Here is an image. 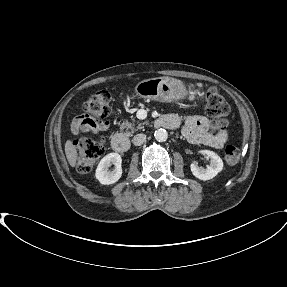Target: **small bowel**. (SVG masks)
I'll use <instances>...</instances> for the list:
<instances>
[{"mask_svg": "<svg viewBox=\"0 0 287 287\" xmlns=\"http://www.w3.org/2000/svg\"><path fill=\"white\" fill-rule=\"evenodd\" d=\"M167 117H170L175 122L176 127L182 122V119L176 114H171ZM210 127L211 123L205 116L192 114L184 118L182 133L193 144H201L216 149L222 148L228 139L227 131L222 130L212 133ZM71 128L74 134L81 132L99 133L106 131L109 128V123L80 115L73 119Z\"/></svg>", "mask_w": 287, "mask_h": 287, "instance_id": "small-bowel-1", "label": "small bowel"}]
</instances>
